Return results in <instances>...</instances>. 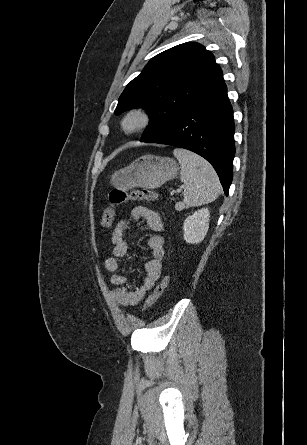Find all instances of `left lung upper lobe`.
<instances>
[{"label": "left lung upper lobe", "mask_w": 307, "mask_h": 445, "mask_svg": "<svg viewBox=\"0 0 307 445\" xmlns=\"http://www.w3.org/2000/svg\"><path fill=\"white\" fill-rule=\"evenodd\" d=\"M223 82L220 67L204 46L195 42L180 44L149 61L126 86L114 113L144 108L150 117L141 137L144 141Z\"/></svg>", "instance_id": "1"}]
</instances>
